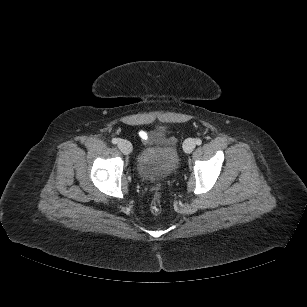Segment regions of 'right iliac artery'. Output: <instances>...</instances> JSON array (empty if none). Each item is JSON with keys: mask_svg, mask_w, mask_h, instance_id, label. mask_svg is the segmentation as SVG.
<instances>
[{"mask_svg": "<svg viewBox=\"0 0 307 307\" xmlns=\"http://www.w3.org/2000/svg\"><path fill=\"white\" fill-rule=\"evenodd\" d=\"M112 143H113V144H117V143H118V139L113 138V139H112Z\"/></svg>", "mask_w": 307, "mask_h": 307, "instance_id": "obj_1", "label": "right iliac artery"}]
</instances>
